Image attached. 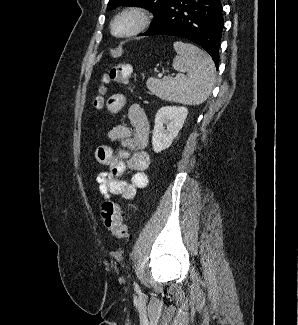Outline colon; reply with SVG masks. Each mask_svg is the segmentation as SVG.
<instances>
[{"label":"colon","mask_w":298,"mask_h":325,"mask_svg":"<svg viewBox=\"0 0 298 325\" xmlns=\"http://www.w3.org/2000/svg\"><path fill=\"white\" fill-rule=\"evenodd\" d=\"M132 67L128 63H118L108 69L103 75V83L113 82L118 85H126L129 82ZM104 92V88H100V93ZM96 109L103 106L102 96H97L94 100ZM101 217L105 228L116 238L124 239L128 237V229L124 223L123 211L121 207L114 201L106 200L101 206Z\"/></svg>","instance_id":"1"}]
</instances>
